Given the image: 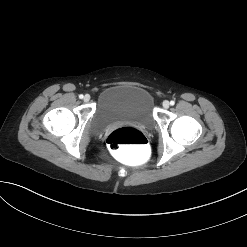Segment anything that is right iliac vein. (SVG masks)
<instances>
[{
  "label": "right iliac vein",
  "instance_id": "1",
  "mask_svg": "<svg viewBox=\"0 0 247 247\" xmlns=\"http://www.w3.org/2000/svg\"><path fill=\"white\" fill-rule=\"evenodd\" d=\"M83 100H84V102H89V100H90V95L86 94V95L83 97Z\"/></svg>",
  "mask_w": 247,
  "mask_h": 247
}]
</instances>
